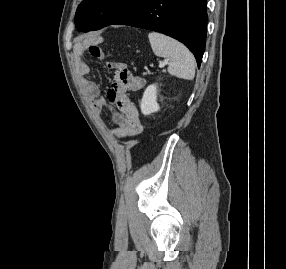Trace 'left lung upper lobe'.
Masks as SVG:
<instances>
[{
	"mask_svg": "<svg viewBox=\"0 0 286 269\" xmlns=\"http://www.w3.org/2000/svg\"><path fill=\"white\" fill-rule=\"evenodd\" d=\"M143 0H83L75 14V25L83 32L111 25L135 9Z\"/></svg>",
	"mask_w": 286,
	"mask_h": 269,
	"instance_id": "obj_1",
	"label": "left lung upper lobe"
}]
</instances>
